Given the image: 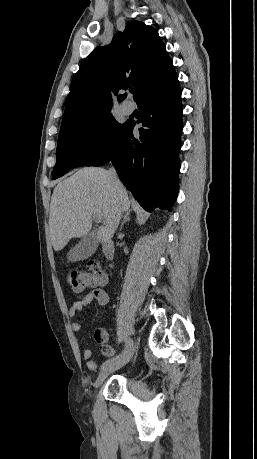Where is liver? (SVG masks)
<instances>
[{"label": "liver", "mask_w": 257, "mask_h": 459, "mask_svg": "<svg viewBox=\"0 0 257 459\" xmlns=\"http://www.w3.org/2000/svg\"><path fill=\"white\" fill-rule=\"evenodd\" d=\"M130 201L123 184L111 179L109 171L84 167L58 183L50 204L49 227L55 251L62 250L72 238H82L92 228V218L99 215V242L110 240Z\"/></svg>", "instance_id": "obj_1"}]
</instances>
